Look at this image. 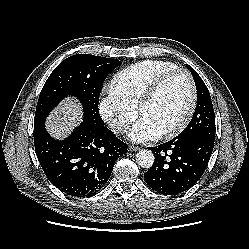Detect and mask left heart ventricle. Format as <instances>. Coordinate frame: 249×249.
<instances>
[{
    "label": "left heart ventricle",
    "mask_w": 249,
    "mask_h": 249,
    "mask_svg": "<svg viewBox=\"0 0 249 249\" xmlns=\"http://www.w3.org/2000/svg\"><path fill=\"white\" fill-rule=\"evenodd\" d=\"M190 89L183 74L170 77L161 87L155 98L141 111L155 123L162 132L175 126L186 113L189 106Z\"/></svg>",
    "instance_id": "b2bd125f"
}]
</instances>
